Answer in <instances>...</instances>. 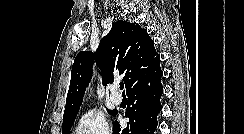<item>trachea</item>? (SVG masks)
<instances>
[{
    "label": "trachea",
    "instance_id": "1",
    "mask_svg": "<svg viewBox=\"0 0 244 134\" xmlns=\"http://www.w3.org/2000/svg\"><path fill=\"white\" fill-rule=\"evenodd\" d=\"M124 89V83H120V90H123ZM124 93V91H123Z\"/></svg>",
    "mask_w": 244,
    "mask_h": 134
}]
</instances>
